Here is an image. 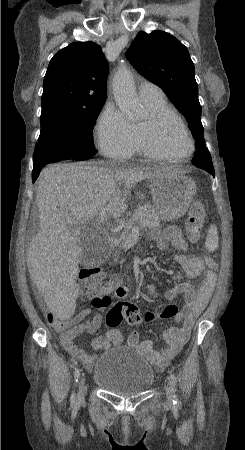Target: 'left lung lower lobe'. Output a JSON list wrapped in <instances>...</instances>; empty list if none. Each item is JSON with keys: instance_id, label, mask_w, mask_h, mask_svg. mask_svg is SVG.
<instances>
[{"instance_id": "obj_1", "label": "left lung lower lobe", "mask_w": 245, "mask_h": 450, "mask_svg": "<svg viewBox=\"0 0 245 450\" xmlns=\"http://www.w3.org/2000/svg\"><path fill=\"white\" fill-rule=\"evenodd\" d=\"M207 152H208V150L206 149L205 146L196 145V153H195L197 155L196 157H200V158L204 159L206 157ZM202 169H205L210 174L215 176L213 165H211L209 168H202Z\"/></svg>"}]
</instances>
